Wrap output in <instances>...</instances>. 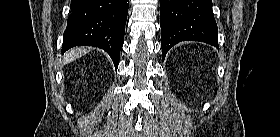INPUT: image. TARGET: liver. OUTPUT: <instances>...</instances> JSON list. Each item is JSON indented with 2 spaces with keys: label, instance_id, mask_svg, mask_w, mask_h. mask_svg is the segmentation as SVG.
<instances>
[{
  "label": "liver",
  "instance_id": "6515ba94",
  "mask_svg": "<svg viewBox=\"0 0 280 137\" xmlns=\"http://www.w3.org/2000/svg\"><path fill=\"white\" fill-rule=\"evenodd\" d=\"M88 49L84 48V47H78V48H74L71 51H68L64 57V63L67 64L77 58H79L80 56H82L83 54L87 53Z\"/></svg>",
  "mask_w": 280,
  "mask_h": 137
}]
</instances>
